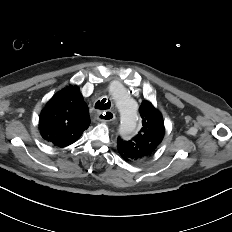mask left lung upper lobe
I'll return each mask as SVG.
<instances>
[{
	"mask_svg": "<svg viewBox=\"0 0 232 232\" xmlns=\"http://www.w3.org/2000/svg\"><path fill=\"white\" fill-rule=\"evenodd\" d=\"M139 112L142 128L130 140L117 139L120 155L130 162H141L155 153L164 137V121L161 113L149 101L142 102Z\"/></svg>",
	"mask_w": 232,
	"mask_h": 232,
	"instance_id": "left-lung-upper-lobe-1",
	"label": "left lung upper lobe"
}]
</instances>
